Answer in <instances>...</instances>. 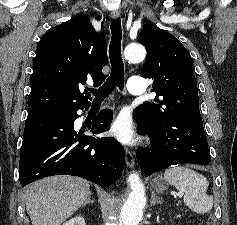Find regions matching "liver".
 <instances>
[{
    "label": "liver",
    "mask_w": 237,
    "mask_h": 225,
    "mask_svg": "<svg viewBox=\"0 0 237 225\" xmlns=\"http://www.w3.org/2000/svg\"><path fill=\"white\" fill-rule=\"evenodd\" d=\"M88 181L73 176L40 179L25 190L26 211L32 225H61L87 200Z\"/></svg>",
    "instance_id": "liver-1"
}]
</instances>
